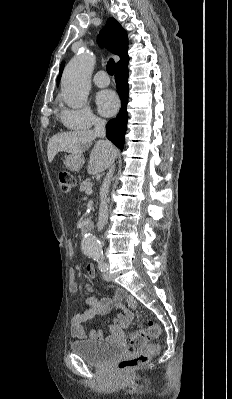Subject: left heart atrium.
Returning <instances> with one entry per match:
<instances>
[{"mask_svg": "<svg viewBox=\"0 0 232 399\" xmlns=\"http://www.w3.org/2000/svg\"><path fill=\"white\" fill-rule=\"evenodd\" d=\"M97 105L100 113L107 117L115 115L119 109L118 100L110 91H103L97 95Z\"/></svg>", "mask_w": 232, "mask_h": 399, "instance_id": "39dd6f15", "label": "left heart atrium"}]
</instances>
